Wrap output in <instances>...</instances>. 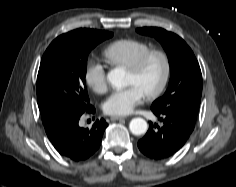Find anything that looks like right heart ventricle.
I'll return each mask as SVG.
<instances>
[{
  "mask_svg": "<svg viewBox=\"0 0 236 187\" xmlns=\"http://www.w3.org/2000/svg\"><path fill=\"white\" fill-rule=\"evenodd\" d=\"M150 46L136 39H119L110 43L102 52L107 63L112 66L129 68L142 54L149 51Z\"/></svg>",
  "mask_w": 236,
  "mask_h": 187,
  "instance_id": "right-heart-ventricle-1",
  "label": "right heart ventricle"
}]
</instances>
